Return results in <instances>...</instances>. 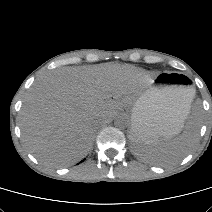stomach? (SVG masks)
<instances>
[{"instance_id": "stomach-1", "label": "stomach", "mask_w": 212, "mask_h": 212, "mask_svg": "<svg viewBox=\"0 0 212 212\" xmlns=\"http://www.w3.org/2000/svg\"><path fill=\"white\" fill-rule=\"evenodd\" d=\"M186 79L177 73L159 74L132 108L129 137L137 144H156L177 135L184 123Z\"/></svg>"}]
</instances>
